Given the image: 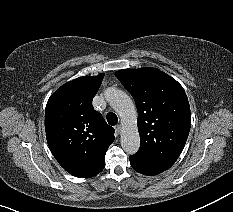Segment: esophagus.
<instances>
[{
	"label": "esophagus",
	"instance_id": "obj_1",
	"mask_svg": "<svg viewBox=\"0 0 233 212\" xmlns=\"http://www.w3.org/2000/svg\"><path fill=\"white\" fill-rule=\"evenodd\" d=\"M115 130L117 133H121V126L120 125H116L115 126Z\"/></svg>",
	"mask_w": 233,
	"mask_h": 212
}]
</instances>
